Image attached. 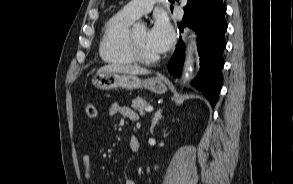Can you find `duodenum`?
I'll list each match as a JSON object with an SVG mask.
<instances>
[{"label":"duodenum","mask_w":293,"mask_h":184,"mask_svg":"<svg viewBox=\"0 0 293 184\" xmlns=\"http://www.w3.org/2000/svg\"><path fill=\"white\" fill-rule=\"evenodd\" d=\"M139 148V142H138V144H137V149Z\"/></svg>","instance_id":"obj_1"}]
</instances>
